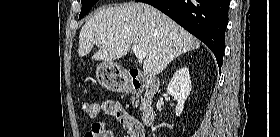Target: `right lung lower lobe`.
<instances>
[{
  "mask_svg": "<svg viewBox=\"0 0 280 137\" xmlns=\"http://www.w3.org/2000/svg\"><path fill=\"white\" fill-rule=\"evenodd\" d=\"M150 4L204 42L223 62L229 0H136Z\"/></svg>",
  "mask_w": 280,
  "mask_h": 137,
  "instance_id": "obj_1",
  "label": "right lung lower lobe"
}]
</instances>
